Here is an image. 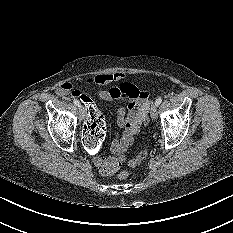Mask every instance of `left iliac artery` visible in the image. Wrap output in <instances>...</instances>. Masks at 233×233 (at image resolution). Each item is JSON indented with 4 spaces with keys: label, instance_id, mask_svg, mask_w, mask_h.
I'll return each instance as SVG.
<instances>
[{
    "label": "left iliac artery",
    "instance_id": "left-iliac-artery-1",
    "mask_svg": "<svg viewBox=\"0 0 233 233\" xmlns=\"http://www.w3.org/2000/svg\"><path fill=\"white\" fill-rule=\"evenodd\" d=\"M161 102H162V98L159 97L158 99H156L155 104L158 106L160 105Z\"/></svg>",
    "mask_w": 233,
    "mask_h": 233
}]
</instances>
